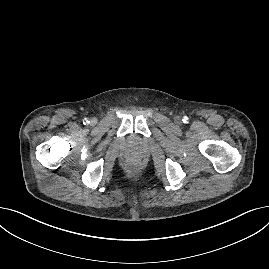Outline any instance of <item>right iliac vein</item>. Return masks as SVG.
<instances>
[{
    "label": "right iliac vein",
    "mask_w": 269,
    "mask_h": 269,
    "mask_svg": "<svg viewBox=\"0 0 269 269\" xmlns=\"http://www.w3.org/2000/svg\"><path fill=\"white\" fill-rule=\"evenodd\" d=\"M90 123H91L92 125L96 124V119H95V118H92L91 121H90Z\"/></svg>",
    "instance_id": "1"
}]
</instances>
